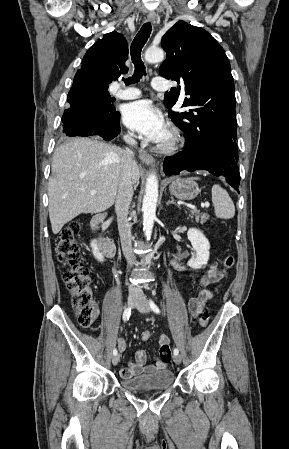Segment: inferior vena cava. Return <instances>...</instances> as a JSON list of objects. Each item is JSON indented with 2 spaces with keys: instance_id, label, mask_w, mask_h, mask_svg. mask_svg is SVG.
Listing matches in <instances>:
<instances>
[{
  "instance_id": "602c4592",
  "label": "inferior vena cava",
  "mask_w": 289,
  "mask_h": 449,
  "mask_svg": "<svg viewBox=\"0 0 289 449\" xmlns=\"http://www.w3.org/2000/svg\"><path fill=\"white\" fill-rule=\"evenodd\" d=\"M124 140L129 145L136 144L132 134L124 136ZM133 155L134 154L130 149H126L125 162L120 173L115 201V211L117 214L121 246L127 263L130 266L136 264V258L132 252L131 224L128 220V211L133 197L132 167L135 164ZM141 291L140 286L129 285V292L140 293Z\"/></svg>"
}]
</instances>
